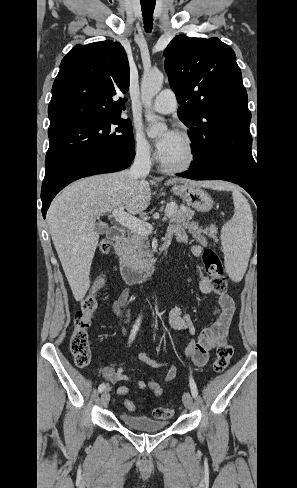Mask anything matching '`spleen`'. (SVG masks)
I'll list each match as a JSON object with an SVG mask.
<instances>
[{
  "label": "spleen",
  "instance_id": "3e777b00",
  "mask_svg": "<svg viewBox=\"0 0 297 488\" xmlns=\"http://www.w3.org/2000/svg\"><path fill=\"white\" fill-rule=\"evenodd\" d=\"M234 215L222 227L221 243L225 266L234 282L242 280L252 250L253 218L247 199L237 190L233 191Z\"/></svg>",
  "mask_w": 297,
  "mask_h": 488
}]
</instances>
